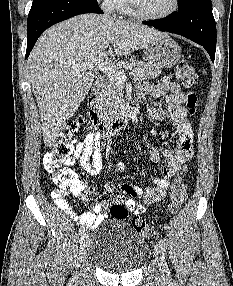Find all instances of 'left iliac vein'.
Wrapping results in <instances>:
<instances>
[{"label": "left iliac vein", "instance_id": "left-iliac-vein-1", "mask_svg": "<svg viewBox=\"0 0 233 286\" xmlns=\"http://www.w3.org/2000/svg\"><path fill=\"white\" fill-rule=\"evenodd\" d=\"M154 253H155V258L158 263L161 276L164 280H167L169 278L170 272H169L168 265L165 259L164 251L159 244H156L154 246Z\"/></svg>", "mask_w": 233, "mask_h": 286}]
</instances>
